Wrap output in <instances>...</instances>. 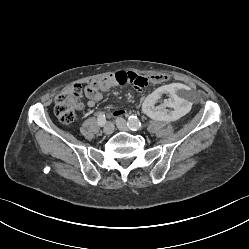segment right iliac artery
<instances>
[{
    "mask_svg": "<svg viewBox=\"0 0 249 249\" xmlns=\"http://www.w3.org/2000/svg\"><path fill=\"white\" fill-rule=\"evenodd\" d=\"M106 123V118H105V114L102 112L98 115V124L100 126H104Z\"/></svg>",
    "mask_w": 249,
    "mask_h": 249,
    "instance_id": "1",
    "label": "right iliac artery"
}]
</instances>
